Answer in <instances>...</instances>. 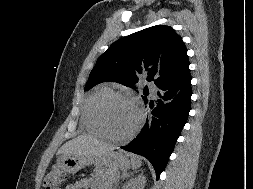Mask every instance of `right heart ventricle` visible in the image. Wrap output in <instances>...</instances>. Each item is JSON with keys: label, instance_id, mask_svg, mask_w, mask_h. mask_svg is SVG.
<instances>
[{"label": "right heart ventricle", "instance_id": "1", "mask_svg": "<svg viewBox=\"0 0 253 189\" xmlns=\"http://www.w3.org/2000/svg\"><path fill=\"white\" fill-rule=\"evenodd\" d=\"M111 92L112 89L110 87L100 86L95 89L85 100L82 106L81 122L87 132L98 136L103 135L94 117V107L101 97Z\"/></svg>", "mask_w": 253, "mask_h": 189}]
</instances>
